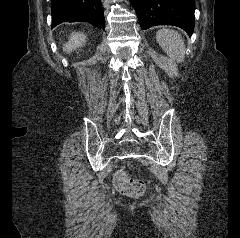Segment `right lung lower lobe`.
Returning <instances> with one entry per match:
<instances>
[{
	"mask_svg": "<svg viewBox=\"0 0 240 238\" xmlns=\"http://www.w3.org/2000/svg\"><path fill=\"white\" fill-rule=\"evenodd\" d=\"M52 28L62 22L85 21L104 28L101 0H51Z\"/></svg>",
	"mask_w": 240,
	"mask_h": 238,
	"instance_id": "right-lung-lower-lobe-1",
	"label": "right lung lower lobe"
}]
</instances>
